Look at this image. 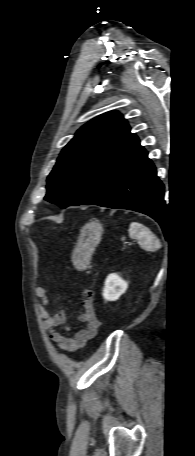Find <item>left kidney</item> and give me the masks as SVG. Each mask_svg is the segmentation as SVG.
<instances>
[{"instance_id":"1","label":"left kidney","mask_w":195,"mask_h":456,"mask_svg":"<svg viewBox=\"0 0 195 456\" xmlns=\"http://www.w3.org/2000/svg\"><path fill=\"white\" fill-rule=\"evenodd\" d=\"M127 288L128 283L113 273L107 276L102 295L106 301H116Z\"/></svg>"}]
</instances>
